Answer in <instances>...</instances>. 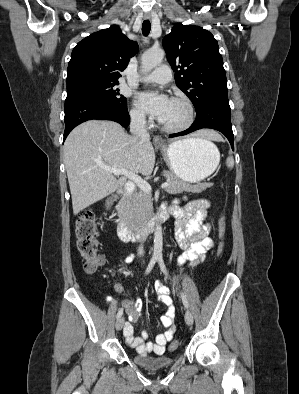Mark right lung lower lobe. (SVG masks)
<instances>
[{
  "mask_svg": "<svg viewBox=\"0 0 299 394\" xmlns=\"http://www.w3.org/2000/svg\"><path fill=\"white\" fill-rule=\"evenodd\" d=\"M92 119L112 120L123 127H127L130 123L127 105L117 107L107 99L91 95L67 97L65 100L64 140L73 128Z\"/></svg>",
  "mask_w": 299,
  "mask_h": 394,
  "instance_id": "1",
  "label": "right lung lower lobe"
}]
</instances>
